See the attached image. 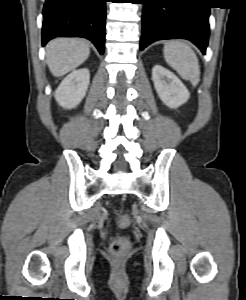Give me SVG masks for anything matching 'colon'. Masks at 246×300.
<instances>
[{
    "mask_svg": "<svg viewBox=\"0 0 246 300\" xmlns=\"http://www.w3.org/2000/svg\"><path fill=\"white\" fill-rule=\"evenodd\" d=\"M117 224L120 228L125 229L130 225V218L126 214L117 215ZM131 248L130 240L127 237H118L112 241L110 245V255L113 260H121L125 258Z\"/></svg>",
    "mask_w": 246,
    "mask_h": 300,
    "instance_id": "colon-1",
    "label": "colon"
}]
</instances>
